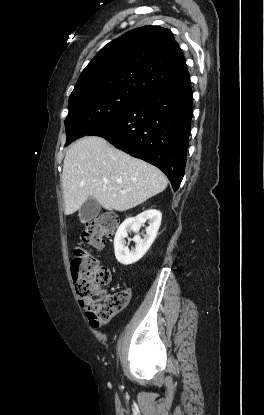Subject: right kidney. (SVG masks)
<instances>
[{"label":"right kidney","instance_id":"1","mask_svg":"<svg viewBox=\"0 0 264 415\" xmlns=\"http://www.w3.org/2000/svg\"><path fill=\"white\" fill-rule=\"evenodd\" d=\"M161 219L162 214L156 209H149L138 214L136 217L125 219L117 229L114 237V252L117 261L123 265H130L139 261L154 242L161 224ZM146 221H149L150 224L146 228V235L143 239L139 235H136L133 238L136 247L130 251L125 242L128 232L133 231L138 233Z\"/></svg>","mask_w":264,"mask_h":415}]
</instances>
